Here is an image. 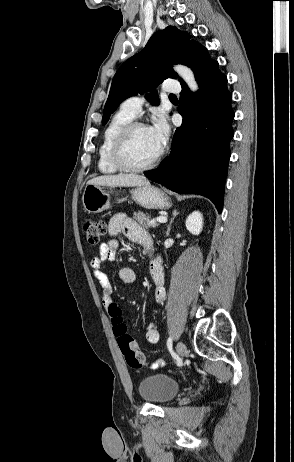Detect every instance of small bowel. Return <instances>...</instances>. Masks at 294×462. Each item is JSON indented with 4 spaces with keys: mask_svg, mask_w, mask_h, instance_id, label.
Here are the masks:
<instances>
[{
    "mask_svg": "<svg viewBox=\"0 0 294 462\" xmlns=\"http://www.w3.org/2000/svg\"><path fill=\"white\" fill-rule=\"evenodd\" d=\"M108 233L110 236L124 234L130 241L140 244L143 247L150 246L153 242L148 233L133 219L125 214H115L109 221ZM119 250V244L116 240L104 242L99 249V253L91 261V268L94 277L98 280L101 286L102 303L107 309L113 303L112 286L109 277L103 271V265L107 261H113ZM150 275L155 285L154 301L160 305L165 301L166 291L164 288L165 274L162 261L159 257L154 258L150 263ZM119 278L125 284H132L136 280V274L130 267H122L119 270ZM145 339L150 344H155L159 340V331L156 325L149 322L145 327ZM163 365L162 360L153 363V368H158Z\"/></svg>",
    "mask_w": 294,
    "mask_h": 462,
    "instance_id": "c3829d8e",
    "label": "small bowel"
}]
</instances>
